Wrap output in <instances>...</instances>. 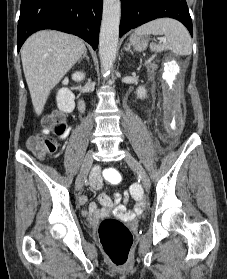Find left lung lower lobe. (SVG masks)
<instances>
[{"mask_svg":"<svg viewBox=\"0 0 227 279\" xmlns=\"http://www.w3.org/2000/svg\"><path fill=\"white\" fill-rule=\"evenodd\" d=\"M161 17L179 20L193 36L192 21L186 0H121L119 36Z\"/></svg>","mask_w":227,"mask_h":279,"instance_id":"left-lung-lower-lobe-1","label":"left lung lower lobe"}]
</instances>
